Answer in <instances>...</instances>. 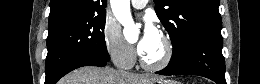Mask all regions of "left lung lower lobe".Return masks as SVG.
<instances>
[{"instance_id":"left-lung-lower-lobe-1","label":"left lung lower lobe","mask_w":260,"mask_h":84,"mask_svg":"<svg viewBox=\"0 0 260 84\" xmlns=\"http://www.w3.org/2000/svg\"><path fill=\"white\" fill-rule=\"evenodd\" d=\"M221 33H206L193 38L178 59L156 72L161 75H199L217 84H226Z\"/></svg>"}]
</instances>
